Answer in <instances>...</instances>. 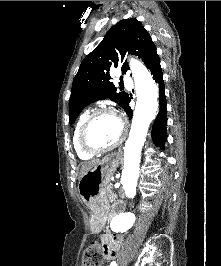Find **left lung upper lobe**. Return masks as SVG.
I'll list each match as a JSON object with an SVG mask.
<instances>
[{"mask_svg":"<svg viewBox=\"0 0 221 266\" xmlns=\"http://www.w3.org/2000/svg\"><path fill=\"white\" fill-rule=\"evenodd\" d=\"M126 52L139 56L148 69L159 62L154 42L136 18L119 21L82 61L72 83L69 100L70 124L85 106L94 101L109 98L125 108L129 96L125 92L117 91L110 82L109 71L118 66L123 73L129 70L128 63L124 61Z\"/></svg>","mask_w":221,"mask_h":266,"instance_id":"obj_1","label":"left lung upper lobe"}]
</instances>
